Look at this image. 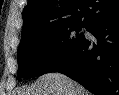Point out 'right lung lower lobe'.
Listing matches in <instances>:
<instances>
[{
	"label": "right lung lower lobe",
	"mask_w": 119,
	"mask_h": 95,
	"mask_svg": "<svg viewBox=\"0 0 119 95\" xmlns=\"http://www.w3.org/2000/svg\"><path fill=\"white\" fill-rule=\"evenodd\" d=\"M84 37L49 72H60L95 95H119V14L87 29Z\"/></svg>",
	"instance_id": "right-lung-lower-lobe-1"
}]
</instances>
